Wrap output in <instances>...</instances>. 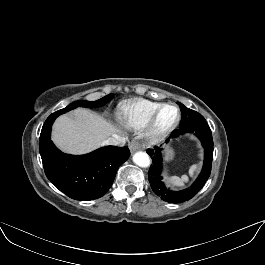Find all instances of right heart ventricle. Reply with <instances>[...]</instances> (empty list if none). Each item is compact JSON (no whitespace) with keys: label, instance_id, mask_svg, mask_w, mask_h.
<instances>
[{"label":"right heart ventricle","instance_id":"obj_1","mask_svg":"<svg viewBox=\"0 0 265 265\" xmlns=\"http://www.w3.org/2000/svg\"><path fill=\"white\" fill-rule=\"evenodd\" d=\"M161 102L135 98L121 103L118 107L120 120L128 127L142 129Z\"/></svg>","mask_w":265,"mask_h":265}]
</instances>
